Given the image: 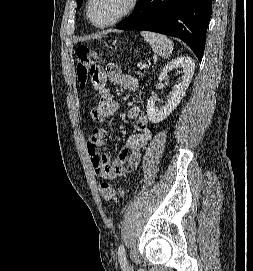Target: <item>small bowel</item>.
I'll return each mask as SVG.
<instances>
[{
  "label": "small bowel",
  "mask_w": 253,
  "mask_h": 271,
  "mask_svg": "<svg viewBox=\"0 0 253 271\" xmlns=\"http://www.w3.org/2000/svg\"><path fill=\"white\" fill-rule=\"evenodd\" d=\"M111 82L114 85L134 91L138 87L135 77L124 74L114 64L105 68H98V103L91 110V118L96 123H107L120 109V104L114 100L113 93L107 86ZM127 117L135 123L136 132L129 135L123 149L113 160L107 154L101 153L105 135L102 129L94 128L86 141L85 148L90 163L98 178L114 179L123 175L127 170L137 167L140 160V150L152 139L153 132L148 127V118L141 108L131 107Z\"/></svg>",
  "instance_id": "obj_1"
}]
</instances>
